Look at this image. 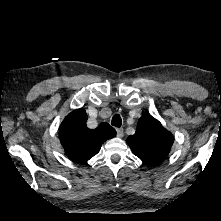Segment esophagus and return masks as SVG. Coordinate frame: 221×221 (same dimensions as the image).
Returning <instances> with one entry per match:
<instances>
[{
	"label": "esophagus",
	"instance_id": "1",
	"mask_svg": "<svg viewBox=\"0 0 221 221\" xmlns=\"http://www.w3.org/2000/svg\"><path fill=\"white\" fill-rule=\"evenodd\" d=\"M116 131H117V137L119 138L123 137L124 131L122 128H117Z\"/></svg>",
	"mask_w": 221,
	"mask_h": 221
}]
</instances>
